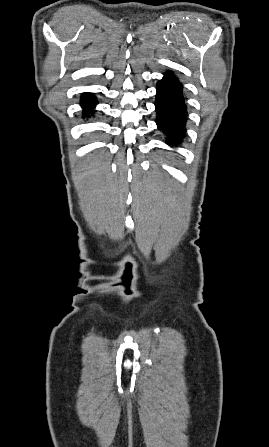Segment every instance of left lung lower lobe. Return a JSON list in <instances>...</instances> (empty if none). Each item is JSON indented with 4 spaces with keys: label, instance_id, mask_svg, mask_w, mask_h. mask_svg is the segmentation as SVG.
<instances>
[{
    "label": "left lung lower lobe",
    "instance_id": "left-lung-lower-lobe-1",
    "mask_svg": "<svg viewBox=\"0 0 269 447\" xmlns=\"http://www.w3.org/2000/svg\"><path fill=\"white\" fill-rule=\"evenodd\" d=\"M158 82L156 95L157 126L168 136V143L177 145L185 137L187 111L183 86L171 72Z\"/></svg>",
    "mask_w": 269,
    "mask_h": 447
}]
</instances>
